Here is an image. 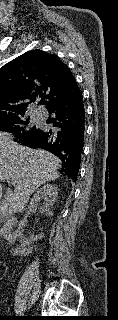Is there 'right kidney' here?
<instances>
[{
    "instance_id": "ca27d5eb",
    "label": "right kidney",
    "mask_w": 118,
    "mask_h": 320,
    "mask_svg": "<svg viewBox=\"0 0 118 320\" xmlns=\"http://www.w3.org/2000/svg\"><path fill=\"white\" fill-rule=\"evenodd\" d=\"M58 196V188L55 185L46 184L42 188H40L32 197L30 205L28 206L26 215L20 221L17 230L15 231V235L19 239L21 243V249L27 253H30L31 250L29 248L30 244L41 239L44 234L41 233L36 236H31L29 238L23 236L22 232L24 227L26 226V219L30 213L39 212L45 216H52L51 207L56 201ZM44 200L43 204H40V201ZM28 247V248H27Z\"/></svg>"
}]
</instances>
